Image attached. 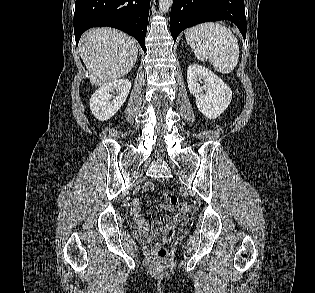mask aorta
<instances>
[{
	"label": "aorta",
	"mask_w": 315,
	"mask_h": 293,
	"mask_svg": "<svg viewBox=\"0 0 315 293\" xmlns=\"http://www.w3.org/2000/svg\"><path fill=\"white\" fill-rule=\"evenodd\" d=\"M173 0H159V10L161 13H166L169 11Z\"/></svg>",
	"instance_id": "aorta-1"
}]
</instances>
